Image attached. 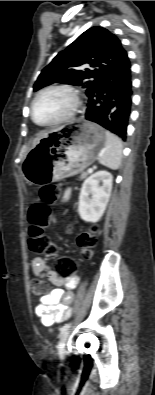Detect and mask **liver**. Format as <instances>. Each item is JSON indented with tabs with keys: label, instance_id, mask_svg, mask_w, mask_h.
<instances>
[{
	"label": "liver",
	"instance_id": "obj_1",
	"mask_svg": "<svg viewBox=\"0 0 155 395\" xmlns=\"http://www.w3.org/2000/svg\"><path fill=\"white\" fill-rule=\"evenodd\" d=\"M48 134H49V132H45V133H42V134H40L39 136H37V137L33 140V147H34L36 144H38L42 138L47 137Z\"/></svg>",
	"mask_w": 155,
	"mask_h": 395
}]
</instances>
